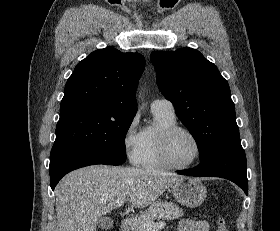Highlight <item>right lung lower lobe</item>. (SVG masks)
Instances as JSON below:
<instances>
[{"mask_svg": "<svg viewBox=\"0 0 280 231\" xmlns=\"http://www.w3.org/2000/svg\"><path fill=\"white\" fill-rule=\"evenodd\" d=\"M124 162L74 146H53L50 154V186L54 190L59 180L75 169L95 165H121Z\"/></svg>", "mask_w": 280, "mask_h": 231, "instance_id": "right-lung-lower-lobe-1", "label": "right lung lower lobe"}]
</instances>
